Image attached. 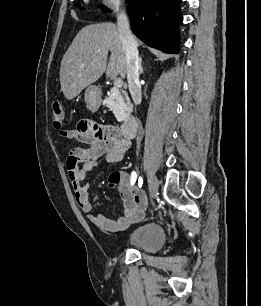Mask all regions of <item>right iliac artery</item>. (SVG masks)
<instances>
[{
    "instance_id": "1",
    "label": "right iliac artery",
    "mask_w": 261,
    "mask_h": 306,
    "mask_svg": "<svg viewBox=\"0 0 261 306\" xmlns=\"http://www.w3.org/2000/svg\"><path fill=\"white\" fill-rule=\"evenodd\" d=\"M135 181H136V173L132 172V174H131V183L134 184ZM142 185H143V178L139 177V179H138V186H139V188H141Z\"/></svg>"
}]
</instances>
